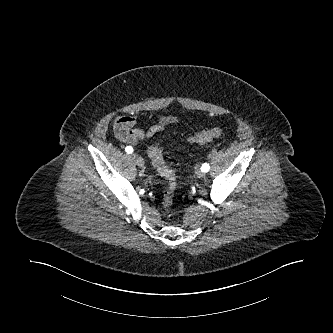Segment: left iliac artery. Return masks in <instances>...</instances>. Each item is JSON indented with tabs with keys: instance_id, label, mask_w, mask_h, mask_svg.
<instances>
[{
	"instance_id": "1",
	"label": "left iliac artery",
	"mask_w": 333,
	"mask_h": 333,
	"mask_svg": "<svg viewBox=\"0 0 333 333\" xmlns=\"http://www.w3.org/2000/svg\"><path fill=\"white\" fill-rule=\"evenodd\" d=\"M210 169V166H209V163H204L202 166H201V170L203 172H208Z\"/></svg>"
}]
</instances>
